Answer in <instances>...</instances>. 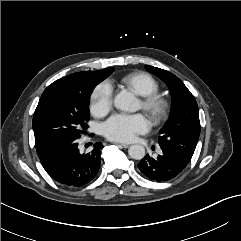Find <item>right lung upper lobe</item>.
Here are the masks:
<instances>
[{
	"mask_svg": "<svg viewBox=\"0 0 241 241\" xmlns=\"http://www.w3.org/2000/svg\"><path fill=\"white\" fill-rule=\"evenodd\" d=\"M113 68H107L104 70H100V71H84V72H78V73H73L71 75H68L64 78L58 79L56 81H65V80H73L76 79L78 77H95V78H106L108 75L111 74V72L113 71Z\"/></svg>",
	"mask_w": 241,
	"mask_h": 241,
	"instance_id": "1",
	"label": "right lung upper lobe"
}]
</instances>
